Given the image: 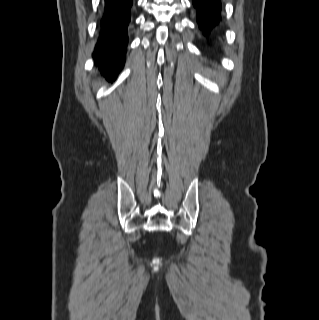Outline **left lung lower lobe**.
<instances>
[{"label": "left lung lower lobe", "instance_id": "1", "mask_svg": "<svg viewBox=\"0 0 319 320\" xmlns=\"http://www.w3.org/2000/svg\"><path fill=\"white\" fill-rule=\"evenodd\" d=\"M193 5L197 8V22L204 34L219 24L221 19V0H193Z\"/></svg>", "mask_w": 319, "mask_h": 320}]
</instances>
